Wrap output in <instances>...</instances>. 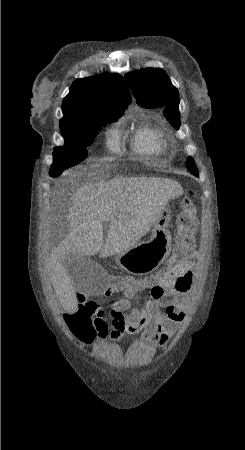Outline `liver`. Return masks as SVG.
I'll use <instances>...</instances> for the list:
<instances>
[{"label": "liver", "instance_id": "liver-1", "mask_svg": "<svg viewBox=\"0 0 245 450\" xmlns=\"http://www.w3.org/2000/svg\"><path fill=\"white\" fill-rule=\"evenodd\" d=\"M182 192L171 179L122 176L73 189L67 216L71 231L47 259L56 295L67 312H76L78 304L66 259L127 252L150 231L168 201ZM105 222L109 227L104 241Z\"/></svg>", "mask_w": 245, "mask_h": 450}]
</instances>
